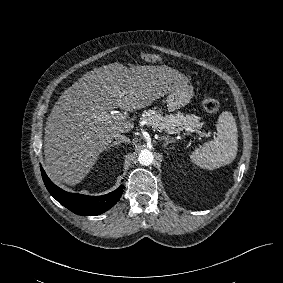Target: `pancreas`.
I'll return each instance as SVG.
<instances>
[{"instance_id": "1", "label": "pancreas", "mask_w": 283, "mask_h": 283, "mask_svg": "<svg viewBox=\"0 0 283 283\" xmlns=\"http://www.w3.org/2000/svg\"><path fill=\"white\" fill-rule=\"evenodd\" d=\"M141 121H145L152 128L164 132H173L177 130L189 129L196 132L202 127L199 117L194 114L184 115L183 113L170 114L163 116L160 110L149 109L142 113Z\"/></svg>"}]
</instances>
